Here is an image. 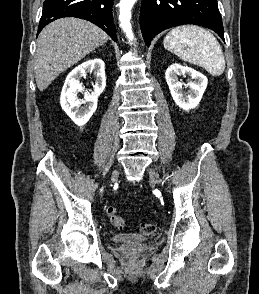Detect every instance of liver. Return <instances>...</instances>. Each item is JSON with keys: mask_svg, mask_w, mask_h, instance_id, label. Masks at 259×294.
Segmentation results:
<instances>
[{"mask_svg": "<svg viewBox=\"0 0 259 294\" xmlns=\"http://www.w3.org/2000/svg\"><path fill=\"white\" fill-rule=\"evenodd\" d=\"M107 40L102 29L82 19L62 18L47 25L38 37L34 60L38 89L45 90L60 73Z\"/></svg>", "mask_w": 259, "mask_h": 294, "instance_id": "obj_1", "label": "liver"}]
</instances>
